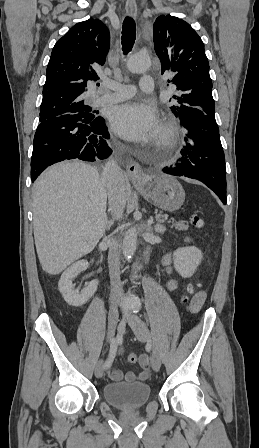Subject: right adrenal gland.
Here are the masks:
<instances>
[{"label": "right adrenal gland", "mask_w": 259, "mask_h": 448, "mask_svg": "<svg viewBox=\"0 0 259 448\" xmlns=\"http://www.w3.org/2000/svg\"><path fill=\"white\" fill-rule=\"evenodd\" d=\"M112 224H114L113 220H108L106 230H110Z\"/></svg>", "instance_id": "right-adrenal-gland-1"}]
</instances>
